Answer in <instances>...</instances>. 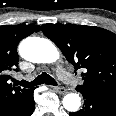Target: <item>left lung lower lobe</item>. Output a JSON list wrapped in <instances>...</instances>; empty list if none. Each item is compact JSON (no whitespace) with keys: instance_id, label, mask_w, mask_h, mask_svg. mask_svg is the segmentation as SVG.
Listing matches in <instances>:
<instances>
[{"instance_id":"0a47b994","label":"left lung lower lobe","mask_w":116,"mask_h":116,"mask_svg":"<svg viewBox=\"0 0 116 116\" xmlns=\"http://www.w3.org/2000/svg\"><path fill=\"white\" fill-rule=\"evenodd\" d=\"M79 92L84 98V106L69 116H116V94L92 90Z\"/></svg>"}]
</instances>
